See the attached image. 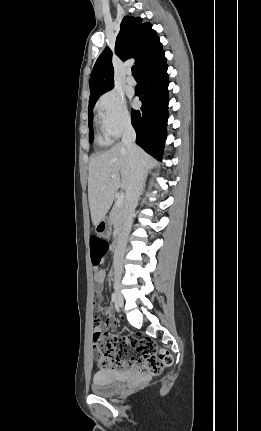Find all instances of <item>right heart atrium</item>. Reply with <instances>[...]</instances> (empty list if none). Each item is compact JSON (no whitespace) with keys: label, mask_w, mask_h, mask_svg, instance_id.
<instances>
[{"label":"right heart atrium","mask_w":261,"mask_h":431,"mask_svg":"<svg viewBox=\"0 0 261 431\" xmlns=\"http://www.w3.org/2000/svg\"><path fill=\"white\" fill-rule=\"evenodd\" d=\"M95 109L100 126L108 137H119L131 124L126 101L117 91L104 93L98 99Z\"/></svg>","instance_id":"obj_1"}]
</instances>
